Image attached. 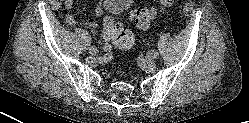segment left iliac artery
Here are the masks:
<instances>
[{"mask_svg":"<svg viewBox=\"0 0 249 123\" xmlns=\"http://www.w3.org/2000/svg\"><path fill=\"white\" fill-rule=\"evenodd\" d=\"M155 59L159 57V53L156 51H153Z\"/></svg>","mask_w":249,"mask_h":123,"instance_id":"44dca946","label":"left iliac artery"}]
</instances>
